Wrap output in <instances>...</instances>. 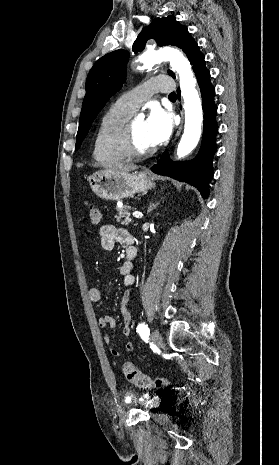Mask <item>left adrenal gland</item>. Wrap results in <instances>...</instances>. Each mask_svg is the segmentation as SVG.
I'll return each instance as SVG.
<instances>
[{"instance_id":"obj_1","label":"left adrenal gland","mask_w":279,"mask_h":465,"mask_svg":"<svg viewBox=\"0 0 279 465\" xmlns=\"http://www.w3.org/2000/svg\"><path fill=\"white\" fill-rule=\"evenodd\" d=\"M158 205H159V202H157L156 204L151 203V205H150L148 211H149V212H152L154 209H156V207H157Z\"/></svg>"}]
</instances>
